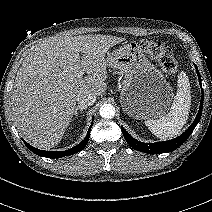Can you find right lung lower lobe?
<instances>
[{"label":"right lung lower lobe","mask_w":212,"mask_h":212,"mask_svg":"<svg viewBox=\"0 0 212 212\" xmlns=\"http://www.w3.org/2000/svg\"><path fill=\"white\" fill-rule=\"evenodd\" d=\"M91 126H90L84 140L80 144H78L75 147H73L69 150H66V151H50V152L49 151H43V150H40V149H37V148L31 146L30 144H28L24 140L23 141H24L25 145L27 146V148L29 150H31L33 153H35L39 156L47 157V158H60V157L68 156V155H71V154H75V153L81 151L86 146V144H87V142L90 138Z\"/></svg>","instance_id":"98d812e1"}]
</instances>
